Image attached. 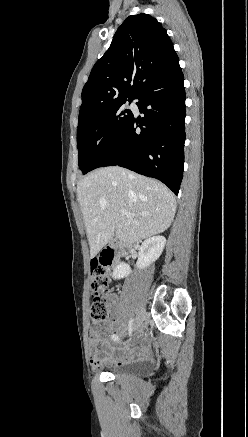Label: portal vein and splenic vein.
Listing matches in <instances>:
<instances>
[{
	"mask_svg": "<svg viewBox=\"0 0 248 437\" xmlns=\"http://www.w3.org/2000/svg\"><path fill=\"white\" fill-rule=\"evenodd\" d=\"M120 213H121V215L127 216V217H133L134 216V214L128 213L125 209H121Z\"/></svg>",
	"mask_w": 248,
	"mask_h": 437,
	"instance_id": "obj_1",
	"label": "portal vein and splenic vein"
}]
</instances>
